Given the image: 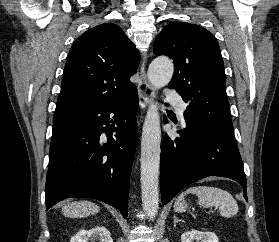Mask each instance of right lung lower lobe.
<instances>
[{
	"mask_svg": "<svg viewBox=\"0 0 279 242\" xmlns=\"http://www.w3.org/2000/svg\"><path fill=\"white\" fill-rule=\"evenodd\" d=\"M137 108L136 90L112 105L54 117L45 186L46 210L66 198L89 197L127 216L137 142L134 124Z\"/></svg>",
	"mask_w": 279,
	"mask_h": 242,
	"instance_id": "98d812e1",
	"label": "right lung lower lobe"
}]
</instances>
